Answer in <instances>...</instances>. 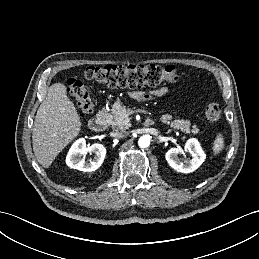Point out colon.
<instances>
[{
	"label": "colon",
	"mask_w": 259,
	"mask_h": 259,
	"mask_svg": "<svg viewBox=\"0 0 259 259\" xmlns=\"http://www.w3.org/2000/svg\"><path fill=\"white\" fill-rule=\"evenodd\" d=\"M88 81L109 87L142 88L174 83L178 80L177 70L172 65H107L90 66L85 71ZM67 91L77 100L81 115H88L94 109V102L88 86L76 78L67 81ZM208 122L216 123L221 117V106L213 102L206 108Z\"/></svg>",
	"instance_id": "1"
}]
</instances>
